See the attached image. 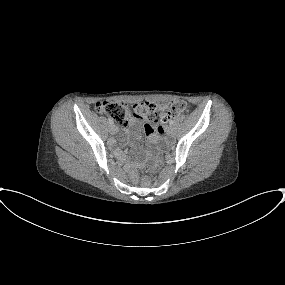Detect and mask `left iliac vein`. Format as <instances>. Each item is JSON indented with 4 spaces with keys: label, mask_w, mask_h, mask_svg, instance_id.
I'll list each match as a JSON object with an SVG mask.
<instances>
[{
    "label": "left iliac vein",
    "mask_w": 285,
    "mask_h": 285,
    "mask_svg": "<svg viewBox=\"0 0 285 285\" xmlns=\"http://www.w3.org/2000/svg\"><path fill=\"white\" fill-rule=\"evenodd\" d=\"M166 133H167V135L168 136H174V130H173V127L172 126H168L167 128H166Z\"/></svg>",
    "instance_id": "1"
}]
</instances>
